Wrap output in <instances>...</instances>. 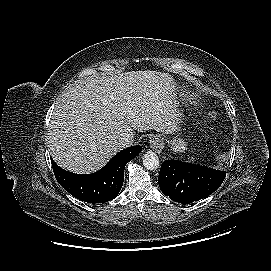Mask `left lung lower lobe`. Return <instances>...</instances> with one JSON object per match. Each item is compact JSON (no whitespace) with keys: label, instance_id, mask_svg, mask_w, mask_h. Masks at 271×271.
<instances>
[{"label":"left lung lower lobe","instance_id":"0a47b994","mask_svg":"<svg viewBox=\"0 0 271 271\" xmlns=\"http://www.w3.org/2000/svg\"><path fill=\"white\" fill-rule=\"evenodd\" d=\"M226 172L177 160L162 163L158 183L161 191L178 203L206 198L219 188Z\"/></svg>","mask_w":271,"mask_h":271}]
</instances>
